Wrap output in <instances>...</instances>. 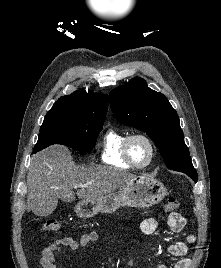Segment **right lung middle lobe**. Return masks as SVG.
Instances as JSON below:
<instances>
[{
	"instance_id": "obj_1",
	"label": "right lung middle lobe",
	"mask_w": 221,
	"mask_h": 268,
	"mask_svg": "<svg viewBox=\"0 0 221 268\" xmlns=\"http://www.w3.org/2000/svg\"><path fill=\"white\" fill-rule=\"evenodd\" d=\"M102 127L103 122L87 121L63 113H47L33 151L62 144L80 152H89L95 146Z\"/></svg>"
}]
</instances>
